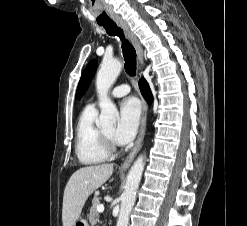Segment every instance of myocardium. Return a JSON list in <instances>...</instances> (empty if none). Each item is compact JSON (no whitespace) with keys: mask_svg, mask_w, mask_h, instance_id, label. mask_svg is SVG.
I'll list each match as a JSON object with an SVG mask.
<instances>
[{"mask_svg":"<svg viewBox=\"0 0 247 226\" xmlns=\"http://www.w3.org/2000/svg\"><path fill=\"white\" fill-rule=\"evenodd\" d=\"M101 144L107 155H112L116 151V145L111 137L107 136L103 131L100 132Z\"/></svg>","mask_w":247,"mask_h":226,"instance_id":"obj_1","label":"myocardium"}]
</instances>
